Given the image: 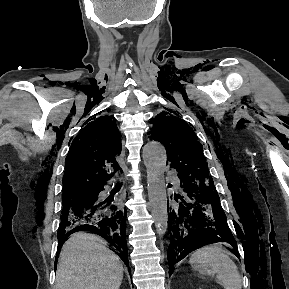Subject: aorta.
Returning a JSON list of instances; mask_svg holds the SVG:
<instances>
[{"instance_id": "762f6f07", "label": "aorta", "mask_w": 289, "mask_h": 289, "mask_svg": "<svg viewBox=\"0 0 289 289\" xmlns=\"http://www.w3.org/2000/svg\"><path fill=\"white\" fill-rule=\"evenodd\" d=\"M143 159L147 172L148 197L156 232L164 235L168 227L167 195L164 172L167 154L164 146L155 141L143 148Z\"/></svg>"}]
</instances>
